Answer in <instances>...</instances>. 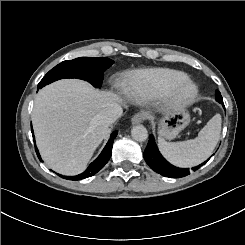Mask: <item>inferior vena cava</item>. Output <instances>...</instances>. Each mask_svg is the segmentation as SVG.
<instances>
[{
    "instance_id": "obj_1",
    "label": "inferior vena cava",
    "mask_w": 245,
    "mask_h": 245,
    "mask_svg": "<svg viewBox=\"0 0 245 245\" xmlns=\"http://www.w3.org/2000/svg\"><path fill=\"white\" fill-rule=\"evenodd\" d=\"M123 113L122 107L117 104H111L108 107H106L100 114L99 119L102 124L110 125L114 123L119 117H121Z\"/></svg>"
}]
</instances>
